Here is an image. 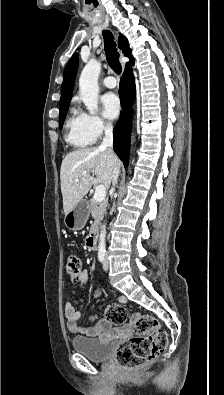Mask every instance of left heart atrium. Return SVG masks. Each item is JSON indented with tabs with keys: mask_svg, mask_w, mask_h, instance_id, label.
Returning a JSON list of instances; mask_svg holds the SVG:
<instances>
[{
	"mask_svg": "<svg viewBox=\"0 0 224 395\" xmlns=\"http://www.w3.org/2000/svg\"><path fill=\"white\" fill-rule=\"evenodd\" d=\"M104 114L109 119H115L121 110L120 99L114 93H107L102 97Z\"/></svg>",
	"mask_w": 224,
	"mask_h": 395,
	"instance_id": "left-heart-atrium-1",
	"label": "left heart atrium"
}]
</instances>
